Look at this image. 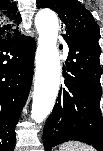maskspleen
Masks as SVG:
<instances>
[{
    "label": "spleen",
    "instance_id": "1",
    "mask_svg": "<svg viewBox=\"0 0 103 151\" xmlns=\"http://www.w3.org/2000/svg\"><path fill=\"white\" fill-rule=\"evenodd\" d=\"M59 151H95V149L80 142H67L60 146Z\"/></svg>",
    "mask_w": 103,
    "mask_h": 151
}]
</instances>
